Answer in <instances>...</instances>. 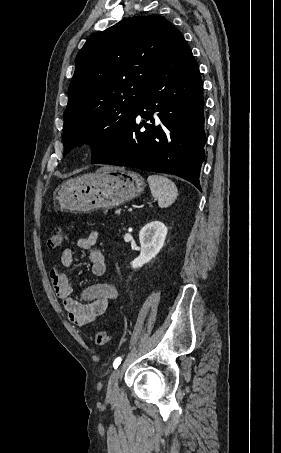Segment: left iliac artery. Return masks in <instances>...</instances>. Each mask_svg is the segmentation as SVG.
I'll return each instance as SVG.
<instances>
[{
	"mask_svg": "<svg viewBox=\"0 0 281 453\" xmlns=\"http://www.w3.org/2000/svg\"><path fill=\"white\" fill-rule=\"evenodd\" d=\"M121 360H122L121 357H118L114 360V363H113L114 369L118 368V366L121 364Z\"/></svg>",
	"mask_w": 281,
	"mask_h": 453,
	"instance_id": "left-iliac-artery-1",
	"label": "left iliac artery"
}]
</instances>
